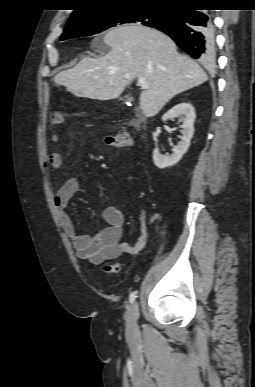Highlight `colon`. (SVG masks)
<instances>
[{
    "mask_svg": "<svg viewBox=\"0 0 255 387\" xmlns=\"http://www.w3.org/2000/svg\"><path fill=\"white\" fill-rule=\"evenodd\" d=\"M106 145L114 148H129L134 145L133 137L126 133L110 134L105 137ZM105 270L109 273H119L120 267L118 265L107 264Z\"/></svg>",
    "mask_w": 255,
    "mask_h": 387,
    "instance_id": "obj_1",
    "label": "colon"
}]
</instances>
